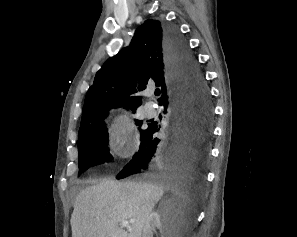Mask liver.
I'll return each mask as SVG.
<instances>
[{"label": "liver", "instance_id": "obj_1", "mask_svg": "<svg viewBox=\"0 0 297 237\" xmlns=\"http://www.w3.org/2000/svg\"><path fill=\"white\" fill-rule=\"evenodd\" d=\"M164 187L152 182L102 180L83 189L71 215L72 237H141ZM135 220L127 231L122 221Z\"/></svg>", "mask_w": 297, "mask_h": 237}]
</instances>
